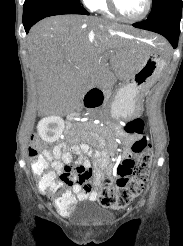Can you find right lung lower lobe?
I'll use <instances>...</instances> for the list:
<instances>
[{
    "label": "right lung lower lobe",
    "mask_w": 183,
    "mask_h": 246,
    "mask_svg": "<svg viewBox=\"0 0 183 246\" xmlns=\"http://www.w3.org/2000/svg\"><path fill=\"white\" fill-rule=\"evenodd\" d=\"M62 14H83L89 15L81 5L79 4H66L61 6H56L52 8H48L45 10H40L36 12L23 13V25L26 33L30 30V28L39 20L53 16V15H62Z\"/></svg>",
    "instance_id": "1"
}]
</instances>
